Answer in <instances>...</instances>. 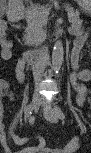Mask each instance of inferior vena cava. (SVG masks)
<instances>
[{
    "label": "inferior vena cava",
    "mask_w": 91,
    "mask_h": 153,
    "mask_svg": "<svg viewBox=\"0 0 91 153\" xmlns=\"http://www.w3.org/2000/svg\"><path fill=\"white\" fill-rule=\"evenodd\" d=\"M48 62L49 61L47 60V57L44 54H34V57H32L33 75L36 84L41 81V78L44 75V70H48L47 67Z\"/></svg>",
    "instance_id": "602c4592"
}]
</instances>
